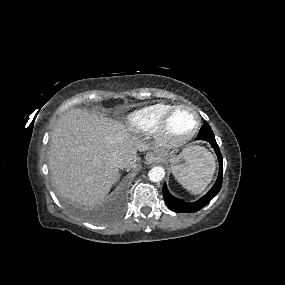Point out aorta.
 Here are the masks:
<instances>
[{
	"mask_svg": "<svg viewBox=\"0 0 285 285\" xmlns=\"http://www.w3.org/2000/svg\"><path fill=\"white\" fill-rule=\"evenodd\" d=\"M164 176H165V170L160 166L153 167L148 173L149 179L153 182L161 181L164 178Z\"/></svg>",
	"mask_w": 285,
	"mask_h": 285,
	"instance_id": "aorta-1",
	"label": "aorta"
}]
</instances>
